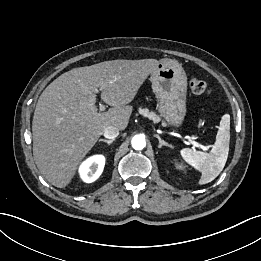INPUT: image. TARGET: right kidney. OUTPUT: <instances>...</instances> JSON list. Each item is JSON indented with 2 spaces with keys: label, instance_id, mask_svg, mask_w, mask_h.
Returning a JSON list of instances; mask_svg holds the SVG:
<instances>
[{
  "label": "right kidney",
  "instance_id": "obj_1",
  "mask_svg": "<svg viewBox=\"0 0 261 261\" xmlns=\"http://www.w3.org/2000/svg\"><path fill=\"white\" fill-rule=\"evenodd\" d=\"M105 165L103 155H94L86 159L79 167L81 179L86 183L94 182L102 174Z\"/></svg>",
  "mask_w": 261,
  "mask_h": 261
}]
</instances>
